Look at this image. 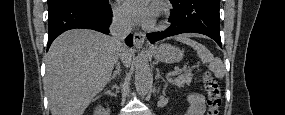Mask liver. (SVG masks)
<instances>
[{
    "label": "liver",
    "mask_w": 285,
    "mask_h": 115,
    "mask_svg": "<svg viewBox=\"0 0 285 115\" xmlns=\"http://www.w3.org/2000/svg\"><path fill=\"white\" fill-rule=\"evenodd\" d=\"M118 54L129 66L131 50H117L110 37L93 30H69L56 38L46 55L44 78L52 115H83L109 81Z\"/></svg>",
    "instance_id": "1"
}]
</instances>
